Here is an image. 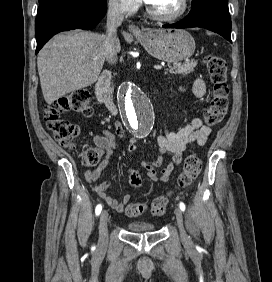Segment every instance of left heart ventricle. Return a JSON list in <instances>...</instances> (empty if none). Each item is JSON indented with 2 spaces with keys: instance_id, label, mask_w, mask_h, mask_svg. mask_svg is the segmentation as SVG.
<instances>
[{
  "instance_id": "left-heart-ventricle-1",
  "label": "left heart ventricle",
  "mask_w": 272,
  "mask_h": 282,
  "mask_svg": "<svg viewBox=\"0 0 272 282\" xmlns=\"http://www.w3.org/2000/svg\"><path fill=\"white\" fill-rule=\"evenodd\" d=\"M149 6L156 12L164 15H173L181 10V0H146Z\"/></svg>"
}]
</instances>
